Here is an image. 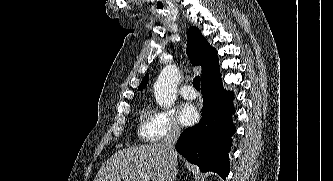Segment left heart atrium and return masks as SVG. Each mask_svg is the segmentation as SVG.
Here are the masks:
<instances>
[{
    "label": "left heart atrium",
    "mask_w": 333,
    "mask_h": 181,
    "mask_svg": "<svg viewBox=\"0 0 333 181\" xmlns=\"http://www.w3.org/2000/svg\"><path fill=\"white\" fill-rule=\"evenodd\" d=\"M196 118L197 111L192 104L186 103L181 106L178 112V119L183 125L192 124L196 120Z\"/></svg>",
    "instance_id": "left-heart-atrium-1"
}]
</instances>
